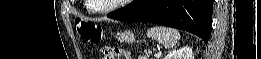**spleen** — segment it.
<instances>
[{"label":"spleen","instance_id":"1","mask_svg":"<svg viewBox=\"0 0 261 59\" xmlns=\"http://www.w3.org/2000/svg\"><path fill=\"white\" fill-rule=\"evenodd\" d=\"M147 36L159 43H162L165 48H173L180 40V33L173 28L155 26L147 31Z\"/></svg>","mask_w":261,"mask_h":59}]
</instances>
